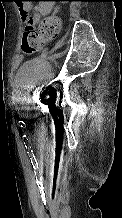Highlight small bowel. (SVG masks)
Returning <instances> with one entry per match:
<instances>
[{"mask_svg":"<svg viewBox=\"0 0 122 218\" xmlns=\"http://www.w3.org/2000/svg\"><path fill=\"white\" fill-rule=\"evenodd\" d=\"M48 0H43L41 4H39L37 7L34 8L33 10V15L36 19L40 18L43 15H47L51 11V4L48 3ZM31 10L30 5L25 4L22 7H20V14L23 17V11H26L27 14H29Z\"/></svg>","mask_w":122,"mask_h":218,"instance_id":"small-bowel-1","label":"small bowel"}]
</instances>
